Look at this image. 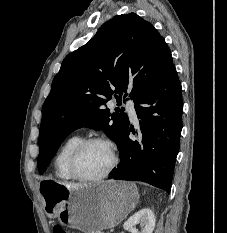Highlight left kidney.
I'll return each instance as SVG.
<instances>
[{"instance_id": "left-kidney-1", "label": "left kidney", "mask_w": 227, "mask_h": 233, "mask_svg": "<svg viewBox=\"0 0 227 233\" xmlns=\"http://www.w3.org/2000/svg\"><path fill=\"white\" fill-rule=\"evenodd\" d=\"M155 215L148 209H142L130 217L123 225L124 229L131 233H152L155 228ZM140 225L141 231L136 229Z\"/></svg>"}]
</instances>
